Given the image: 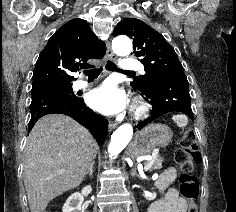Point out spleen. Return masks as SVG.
<instances>
[{"label": "spleen", "mask_w": 236, "mask_h": 212, "mask_svg": "<svg viewBox=\"0 0 236 212\" xmlns=\"http://www.w3.org/2000/svg\"><path fill=\"white\" fill-rule=\"evenodd\" d=\"M172 119L177 123L178 127H185L188 124V118L183 114L174 115Z\"/></svg>", "instance_id": "3e777b00"}]
</instances>
